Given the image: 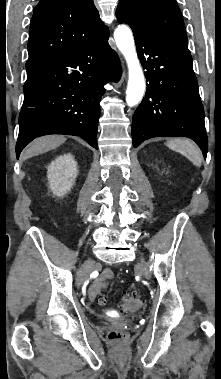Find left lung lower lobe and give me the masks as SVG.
<instances>
[{"mask_svg":"<svg viewBox=\"0 0 221 379\" xmlns=\"http://www.w3.org/2000/svg\"><path fill=\"white\" fill-rule=\"evenodd\" d=\"M116 17L131 27L149 82L133 115V146L153 137L184 136L193 139L206 158L204 109L188 47L145 32L122 13Z\"/></svg>","mask_w":221,"mask_h":379,"instance_id":"1","label":"left lung lower lobe"}]
</instances>
